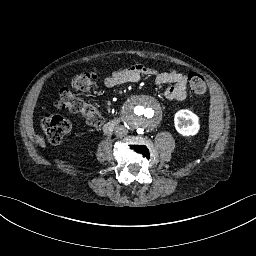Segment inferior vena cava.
Returning <instances> with one entry per match:
<instances>
[{
  "instance_id": "1",
  "label": "inferior vena cava",
  "mask_w": 256,
  "mask_h": 256,
  "mask_svg": "<svg viewBox=\"0 0 256 256\" xmlns=\"http://www.w3.org/2000/svg\"><path fill=\"white\" fill-rule=\"evenodd\" d=\"M114 133L116 136L118 137H123L125 136L127 133H128V130L125 126L123 125H117L115 128H114Z\"/></svg>"
}]
</instances>
